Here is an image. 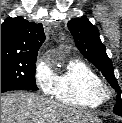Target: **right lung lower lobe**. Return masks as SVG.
Wrapping results in <instances>:
<instances>
[{
	"instance_id": "1",
	"label": "right lung lower lobe",
	"mask_w": 122,
	"mask_h": 123,
	"mask_svg": "<svg viewBox=\"0 0 122 123\" xmlns=\"http://www.w3.org/2000/svg\"><path fill=\"white\" fill-rule=\"evenodd\" d=\"M20 87L12 86V85H1V93L7 92L10 90H18Z\"/></svg>"
}]
</instances>
